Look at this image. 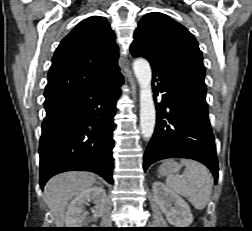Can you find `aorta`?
I'll return each instance as SVG.
<instances>
[{
    "label": "aorta",
    "instance_id": "762f6f07",
    "mask_svg": "<svg viewBox=\"0 0 252 231\" xmlns=\"http://www.w3.org/2000/svg\"><path fill=\"white\" fill-rule=\"evenodd\" d=\"M134 74L140 87V129L145 140L154 132L156 111L151 89L152 71L146 59L139 58L133 63Z\"/></svg>",
    "mask_w": 252,
    "mask_h": 231
}]
</instances>
